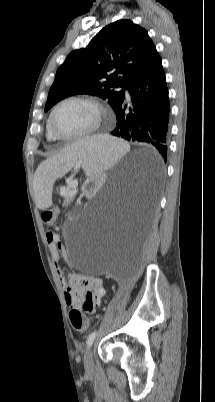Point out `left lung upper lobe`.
Returning <instances> with one entry per match:
<instances>
[{"mask_svg":"<svg viewBox=\"0 0 215 402\" xmlns=\"http://www.w3.org/2000/svg\"><path fill=\"white\" fill-rule=\"evenodd\" d=\"M159 56L147 31L130 20L104 27L86 48L72 51L57 70L45 111L60 100L90 94L107 99L113 110L129 82ZM123 87L117 92L112 88Z\"/></svg>","mask_w":215,"mask_h":402,"instance_id":"obj_1","label":"left lung upper lobe"}]
</instances>
